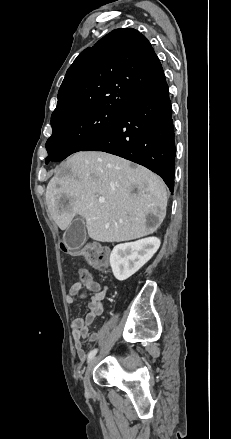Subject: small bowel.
<instances>
[{"mask_svg": "<svg viewBox=\"0 0 231 439\" xmlns=\"http://www.w3.org/2000/svg\"><path fill=\"white\" fill-rule=\"evenodd\" d=\"M83 289H86L90 293L88 303L89 312L85 317H77L73 319L71 323L74 347L77 356L81 361L86 358V352L83 349V341L87 338H89L90 341H97L101 336V331L94 332L89 336V329L102 315V300L108 291L107 286H102L98 281L89 276L87 280L76 282L69 288L66 296L67 303L70 305L73 304L77 296L85 298L87 294L82 292Z\"/></svg>", "mask_w": 231, "mask_h": 439, "instance_id": "small-bowel-1", "label": "small bowel"}]
</instances>
